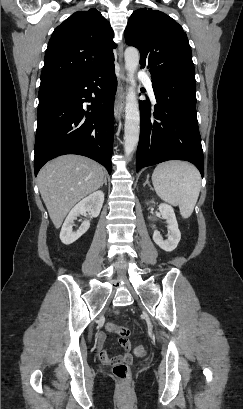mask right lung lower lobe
<instances>
[{"mask_svg":"<svg viewBox=\"0 0 243 409\" xmlns=\"http://www.w3.org/2000/svg\"><path fill=\"white\" fill-rule=\"evenodd\" d=\"M114 69L109 63L84 77L39 89L35 176L47 161L64 154L87 156L111 173ZM90 101L85 111L83 103Z\"/></svg>","mask_w":243,"mask_h":409,"instance_id":"1","label":"right lung lower lobe"}]
</instances>
